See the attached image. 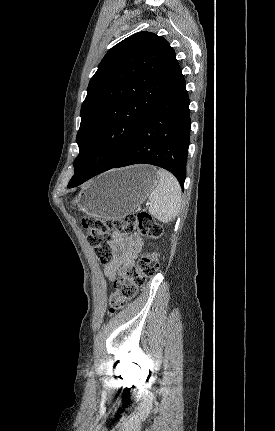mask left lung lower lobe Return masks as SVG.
<instances>
[{
    "label": "left lung lower lobe",
    "mask_w": 275,
    "mask_h": 431,
    "mask_svg": "<svg viewBox=\"0 0 275 431\" xmlns=\"http://www.w3.org/2000/svg\"><path fill=\"white\" fill-rule=\"evenodd\" d=\"M190 126L189 97L186 82L179 67L167 92L122 156L97 174L112 168L146 163L170 171L183 189ZM92 177L86 173L76 174L70 180L68 187L78 186Z\"/></svg>",
    "instance_id": "obj_1"
}]
</instances>
